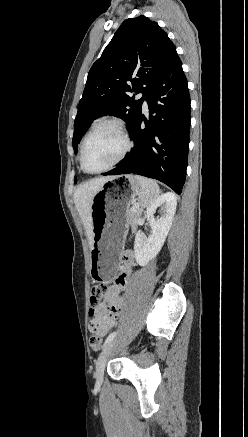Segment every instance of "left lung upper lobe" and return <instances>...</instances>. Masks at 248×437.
<instances>
[{
  "mask_svg": "<svg viewBox=\"0 0 248 437\" xmlns=\"http://www.w3.org/2000/svg\"><path fill=\"white\" fill-rule=\"evenodd\" d=\"M177 57L174 44L156 22L145 16L125 20L88 73L74 122V153L90 123L100 116L121 118L130 133L148 90ZM140 92L143 97L134 101L131 93Z\"/></svg>",
  "mask_w": 248,
  "mask_h": 437,
  "instance_id": "left-lung-upper-lobe-1",
  "label": "left lung upper lobe"
}]
</instances>
